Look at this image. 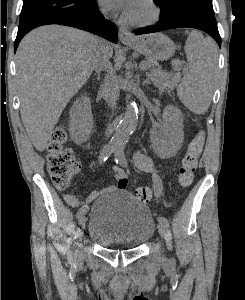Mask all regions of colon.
<instances>
[{
    "label": "colon",
    "instance_id": "5ec220e1",
    "mask_svg": "<svg viewBox=\"0 0 245 300\" xmlns=\"http://www.w3.org/2000/svg\"><path fill=\"white\" fill-rule=\"evenodd\" d=\"M67 133L63 127L56 128L47 146V168L54 186L59 190H67L73 181L75 174L80 169L71 149L66 147ZM205 142V131L200 128L191 140L188 149L182 159L178 172V182L181 187H188L194 179L199 156ZM136 198L148 203L152 199V190L149 187H139L135 190Z\"/></svg>",
    "mask_w": 245,
    "mask_h": 300
}]
</instances>
